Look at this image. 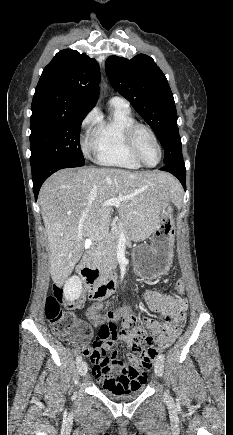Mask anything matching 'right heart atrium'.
<instances>
[{"mask_svg":"<svg viewBox=\"0 0 233 435\" xmlns=\"http://www.w3.org/2000/svg\"><path fill=\"white\" fill-rule=\"evenodd\" d=\"M97 121H98V115H97V113L95 111H91L83 119V121H82V127L83 128H89V127L95 125L97 123ZM82 146H83V151H84L85 154H89V152L93 148V144L90 141V139H86L83 142Z\"/></svg>","mask_w":233,"mask_h":435,"instance_id":"obj_1","label":"right heart atrium"}]
</instances>
